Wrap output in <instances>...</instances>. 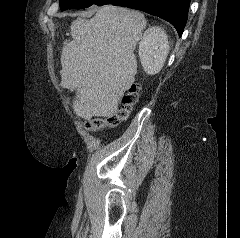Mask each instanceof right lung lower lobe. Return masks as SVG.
Masks as SVG:
<instances>
[{
    "label": "right lung lower lobe",
    "instance_id": "1",
    "mask_svg": "<svg viewBox=\"0 0 240 238\" xmlns=\"http://www.w3.org/2000/svg\"><path fill=\"white\" fill-rule=\"evenodd\" d=\"M108 4L158 16L170 22L181 36L188 18L190 0H112Z\"/></svg>",
    "mask_w": 240,
    "mask_h": 238
}]
</instances>
